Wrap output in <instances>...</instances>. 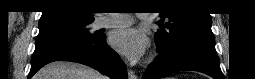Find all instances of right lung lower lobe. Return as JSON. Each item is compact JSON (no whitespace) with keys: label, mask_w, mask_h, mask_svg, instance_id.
<instances>
[{"label":"right lung lower lobe","mask_w":255,"mask_h":79,"mask_svg":"<svg viewBox=\"0 0 255 79\" xmlns=\"http://www.w3.org/2000/svg\"><path fill=\"white\" fill-rule=\"evenodd\" d=\"M59 60L90 66L113 79H127L126 66L118 54L107 45L105 34L87 41L61 37L36 41L28 79L44 65Z\"/></svg>","instance_id":"right-lung-lower-lobe-1"}]
</instances>
